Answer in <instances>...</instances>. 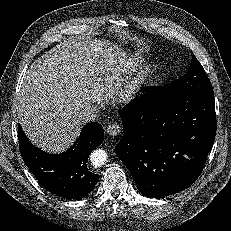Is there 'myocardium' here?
<instances>
[{
  "label": "myocardium",
  "mask_w": 231,
  "mask_h": 231,
  "mask_svg": "<svg viewBox=\"0 0 231 231\" xmlns=\"http://www.w3.org/2000/svg\"><path fill=\"white\" fill-rule=\"evenodd\" d=\"M146 76L147 72L145 70L138 71L136 75L133 77L130 85L127 87L126 92H131V90L141 85L145 81Z\"/></svg>",
  "instance_id": "1"
}]
</instances>
